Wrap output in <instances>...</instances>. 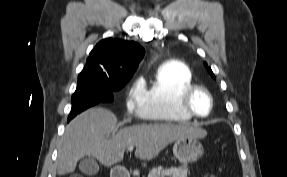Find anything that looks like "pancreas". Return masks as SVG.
<instances>
[{
  "instance_id": "cf45deb5",
  "label": "pancreas",
  "mask_w": 287,
  "mask_h": 177,
  "mask_svg": "<svg viewBox=\"0 0 287 177\" xmlns=\"http://www.w3.org/2000/svg\"><path fill=\"white\" fill-rule=\"evenodd\" d=\"M189 171L185 167L162 168L161 166L153 168L148 177H187Z\"/></svg>"
}]
</instances>
